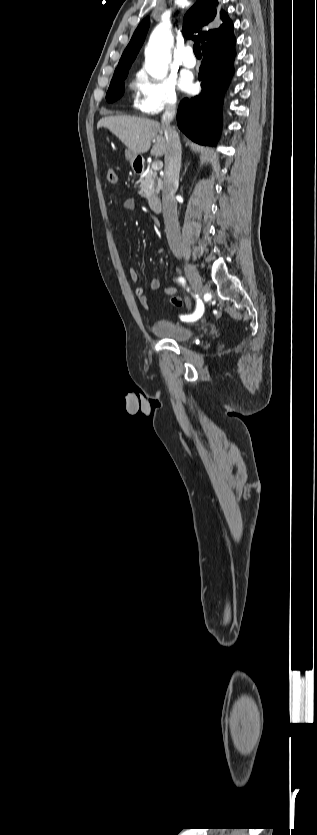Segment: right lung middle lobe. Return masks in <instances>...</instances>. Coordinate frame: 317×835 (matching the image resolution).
<instances>
[{
    "label": "right lung middle lobe",
    "instance_id": "1",
    "mask_svg": "<svg viewBox=\"0 0 317 835\" xmlns=\"http://www.w3.org/2000/svg\"><path fill=\"white\" fill-rule=\"evenodd\" d=\"M128 68L115 71L114 76L111 80V84L109 86L108 92L106 94V100L108 102H114L118 100L124 93V79L128 75Z\"/></svg>",
    "mask_w": 317,
    "mask_h": 835
}]
</instances>
